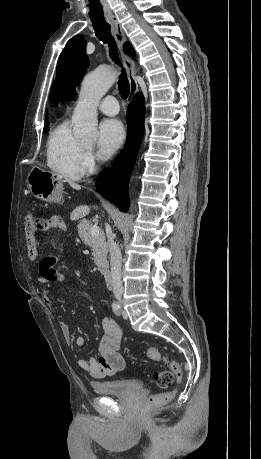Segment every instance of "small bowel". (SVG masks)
I'll return each mask as SVG.
<instances>
[{
	"instance_id": "c3829d8e",
	"label": "small bowel",
	"mask_w": 261,
	"mask_h": 459,
	"mask_svg": "<svg viewBox=\"0 0 261 459\" xmlns=\"http://www.w3.org/2000/svg\"><path fill=\"white\" fill-rule=\"evenodd\" d=\"M39 229H43L45 231L55 229L63 230L65 229V223L59 216H52L46 219ZM55 262L56 259L54 257H47L41 260L39 264V282L42 285L40 293L42 294L44 300L50 305L51 300L47 293V288L54 282L67 280L65 275L59 273L54 268ZM59 326L64 340L67 344H71L72 335L69 326L62 321H59ZM102 330L103 335L99 343L98 359L90 357L87 359H80L78 361L79 367L94 378H104L114 375L118 371L122 370L125 364L124 359L119 352L122 339L121 327L112 318L105 317L102 320ZM75 343L77 346L83 347L86 341L84 337L79 336L76 338Z\"/></svg>"
}]
</instances>
